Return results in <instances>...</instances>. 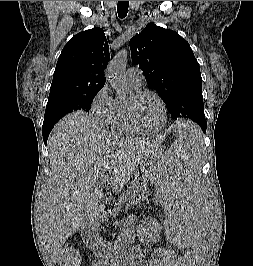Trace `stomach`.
Here are the masks:
<instances>
[{
    "label": "stomach",
    "instance_id": "stomach-1",
    "mask_svg": "<svg viewBox=\"0 0 253 266\" xmlns=\"http://www.w3.org/2000/svg\"><path fill=\"white\" fill-rule=\"evenodd\" d=\"M164 153L168 152L164 151L162 145H158L157 147L153 148L142 160L140 169L143 176L148 181H155V177L160 176L161 169H158V160H162Z\"/></svg>",
    "mask_w": 253,
    "mask_h": 266
}]
</instances>
